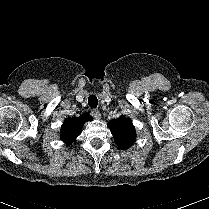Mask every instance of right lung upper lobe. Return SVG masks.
<instances>
[{"instance_id": "1", "label": "right lung upper lobe", "mask_w": 209, "mask_h": 209, "mask_svg": "<svg viewBox=\"0 0 209 209\" xmlns=\"http://www.w3.org/2000/svg\"><path fill=\"white\" fill-rule=\"evenodd\" d=\"M91 120L92 117L88 114L65 119L61 126V140L67 145H71V143L79 136L84 123Z\"/></svg>"}]
</instances>
